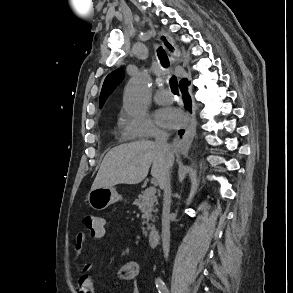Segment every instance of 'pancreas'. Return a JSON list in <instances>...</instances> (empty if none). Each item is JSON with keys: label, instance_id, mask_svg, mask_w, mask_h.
<instances>
[{"label": "pancreas", "instance_id": "1", "mask_svg": "<svg viewBox=\"0 0 293 293\" xmlns=\"http://www.w3.org/2000/svg\"><path fill=\"white\" fill-rule=\"evenodd\" d=\"M133 204L138 206L139 210L142 212V224L147 226V230H153L154 227L149 224V220L154 221L153 213L157 212V209H155V206L158 204L156 196H147L146 191H142ZM143 234H148L144 227Z\"/></svg>", "mask_w": 293, "mask_h": 293}]
</instances>
